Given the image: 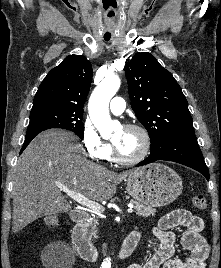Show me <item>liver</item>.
I'll use <instances>...</instances> for the list:
<instances>
[{"label":"liver","instance_id":"liver-1","mask_svg":"<svg viewBox=\"0 0 221 268\" xmlns=\"http://www.w3.org/2000/svg\"><path fill=\"white\" fill-rule=\"evenodd\" d=\"M75 141L70 132L47 130L19 157L13 181L14 233L40 217L70 210L57 184L90 200L104 201L112 198L116 186L134 171L115 173L87 160Z\"/></svg>","mask_w":221,"mask_h":268}]
</instances>
